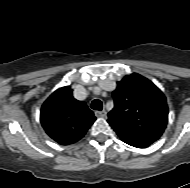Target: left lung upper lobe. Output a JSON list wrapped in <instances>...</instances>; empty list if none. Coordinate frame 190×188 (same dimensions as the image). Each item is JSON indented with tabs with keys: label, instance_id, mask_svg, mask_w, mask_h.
<instances>
[{
	"label": "left lung upper lobe",
	"instance_id": "1",
	"mask_svg": "<svg viewBox=\"0 0 190 188\" xmlns=\"http://www.w3.org/2000/svg\"><path fill=\"white\" fill-rule=\"evenodd\" d=\"M111 126L162 136L168 122L166 98L158 87L139 74L125 76L113 92Z\"/></svg>",
	"mask_w": 190,
	"mask_h": 188
}]
</instances>
